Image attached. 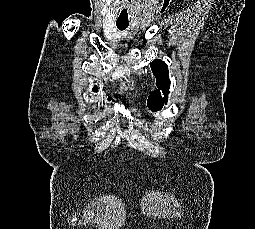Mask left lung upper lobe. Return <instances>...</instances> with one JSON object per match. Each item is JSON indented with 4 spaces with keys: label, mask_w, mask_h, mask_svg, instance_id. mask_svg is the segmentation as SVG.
I'll return each instance as SVG.
<instances>
[{
    "label": "left lung upper lobe",
    "mask_w": 255,
    "mask_h": 229,
    "mask_svg": "<svg viewBox=\"0 0 255 229\" xmlns=\"http://www.w3.org/2000/svg\"><path fill=\"white\" fill-rule=\"evenodd\" d=\"M151 69L156 78V86L159 90H155L149 95L147 105L151 111L155 112L163 108V103L167 104L171 82L168 75V66L162 60H154L151 63ZM160 90H162L164 98L161 97Z\"/></svg>",
    "instance_id": "obj_1"
}]
</instances>
